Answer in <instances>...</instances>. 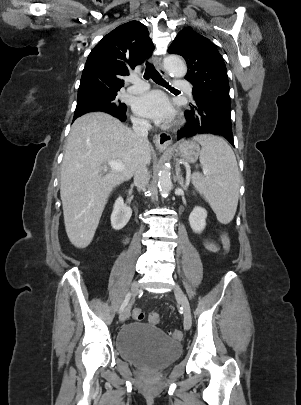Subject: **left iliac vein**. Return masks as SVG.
<instances>
[{
	"mask_svg": "<svg viewBox=\"0 0 301 405\" xmlns=\"http://www.w3.org/2000/svg\"><path fill=\"white\" fill-rule=\"evenodd\" d=\"M174 294L179 302V304L182 306L183 311H184V328L186 330H189L191 325H192V317H191V309H190V304L189 301L184 294V292L181 290L179 285H175L174 287Z\"/></svg>",
	"mask_w": 301,
	"mask_h": 405,
	"instance_id": "left-iliac-vein-1",
	"label": "left iliac vein"
}]
</instances>
